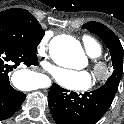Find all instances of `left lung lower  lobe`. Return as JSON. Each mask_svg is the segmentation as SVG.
I'll use <instances>...</instances> for the list:
<instances>
[{
  "mask_svg": "<svg viewBox=\"0 0 124 124\" xmlns=\"http://www.w3.org/2000/svg\"><path fill=\"white\" fill-rule=\"evenodd\" d=\"M117 91L102 87L78 95L53 84L49 91V108L57 124H95L109 109Z\"/></svg>",
  "mask_w": 124,
  "mask_h": 124,
  "instance_id": "1",
  "label": "left lung lower lobe"
}]
</instances>
